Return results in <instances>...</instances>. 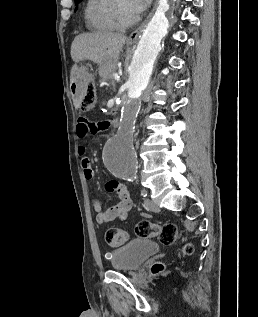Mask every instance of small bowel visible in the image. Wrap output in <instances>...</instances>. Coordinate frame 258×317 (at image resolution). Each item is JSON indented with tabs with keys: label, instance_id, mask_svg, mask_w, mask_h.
Instances as JSON below:
<instances>
[{
	"label": "small bowel",
	"instance_id": "small-bowel-1",
	"mask_svg": "<svg viewBox=\"0 0 258 317\" xmlns=\"http://www.w3.org/2000/svg\"><path fill=\"white\" fill-rule=\"evenodd\" d=\"M110 121L92 123L86 119H79L76 124V135L78 139H85L89 133L96 134L108 129L111 126ZM80 156L81 167L86 179L94 177V170L91 165L90 159L86 155V148L84 146L78 147ZM105 190L109 193H115L118 198L117 204L104 209L99 200L94 202V210L97 212L96 220L99 224H106L113 220L125 219L132 207V200L125 185L117 181H109L105 185Z\"/></svg>",
	"mask_w": 258,
	"mask_h": 317
}]
</instances>
